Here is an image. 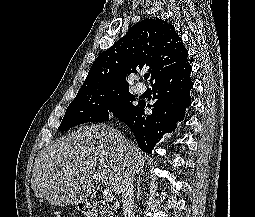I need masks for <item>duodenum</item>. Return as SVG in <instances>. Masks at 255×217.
I'll use <instances>...</instances> for the list:
<instances>
[{"label": "duodenum", "instance_id": "410a0bca", "mask_svg": "<svg viewBox=\"0 0 255 217\" xmlns=\"http://www.w3.org/2000/svg\"><path fill=\"white\" fill-rule=\"evenodd\" d=\"M80 211L87 217H96L97 214L96 208L91 204H81Z\"/></svg>", "mask_w": 255, "mask_h": 217}]
</instances>
